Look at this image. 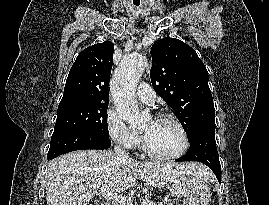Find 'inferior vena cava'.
Here are the masks:
<instances>
[{
  "label": "inferior vena cava",
  "instance_id": "602c4592",
  "mask_svg": "<svg viewBox=\"0 0 269 205\" xmlns=\"http://www.w3.org/2000/svg\"><path fill=\"white\" fill-rule=\"evenodd\" d=\"M114 152L121 158H125V159L129 158L128 153H126L125 150L121 149L120 146H115Z\"/></svg>",
  "mask_w": 269,
  "mask_h": 205
}]
</instances>
